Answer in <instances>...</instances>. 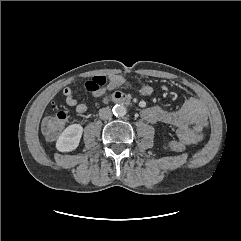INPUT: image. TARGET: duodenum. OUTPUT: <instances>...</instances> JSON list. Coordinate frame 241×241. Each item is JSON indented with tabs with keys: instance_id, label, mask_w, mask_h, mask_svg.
<instances>
[{
	"instance_id": "410a0bca",
	"label": "duodenum",
	"mask_w": 241,
	"mask_h": 241,
	"mask_svg": "<svg viewBox=\"0 0 241 241\" xmlns=\"http://www.w3.org/2000/svg\"><path fill=\"white\" fill-rule=\"evenodd\" d=\"M105 102L129 103L130 100L125 95H123L122 93L117 92L114 95H112L111 97L106 98Z\"/></svg>"
}]
</instances>
